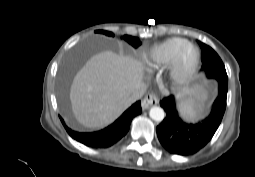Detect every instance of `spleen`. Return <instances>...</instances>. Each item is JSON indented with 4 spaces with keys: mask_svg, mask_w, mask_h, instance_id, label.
<instances>
[{
    "mask_svg": "<svg viewBox=\"0 0 255 177\" xmlns=\"http://www.w3.org/2000/svg\"><path fill=\"white\" fill-rule=\"evenodd\" d=\"M182 110H183L184 113H187V114H190V115L193 114L192 105L189 104V103H183L182 104Z\"/></svg>",
    "mask_w": 255,
    "mask_h": 177,
    "instance_id": "spleen-1",
    "label": "spleen"
}]
</instances>
